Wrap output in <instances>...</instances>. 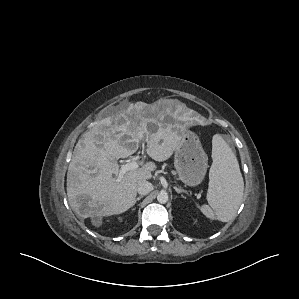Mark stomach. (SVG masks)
<instances>
[{
  "label": "stomach",
  "instance_id": "1",
  "mask_svg": "<svg viewBox=\"0 0 299 299\" xmlns=\"http://www.w3.org/2000/svg\"><path fill=\"white\" fill-rule=\"evenodd\" d=\"M180 141L175 150L174 166L183 183L188 186L199 185L208 168V158L199 137L185 129L179 133Z\"/></svg>",
  "mask_w": 299,
  "mask_h": 299
}]
</instances>
